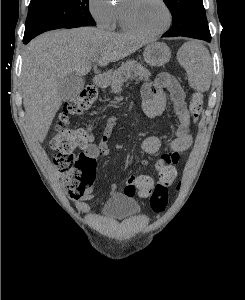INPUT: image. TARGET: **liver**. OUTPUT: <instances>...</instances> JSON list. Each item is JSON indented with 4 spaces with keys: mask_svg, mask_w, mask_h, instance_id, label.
<instances>
[{
    "mask_svg": "<svg viewBox=\"0 0 245 300\" xmlns=\"http://www.w3.org/2000/svg\"><path fill=\"white\" fill-rule=\"evenodd\" d=\"M149 41L141 36L98 28L60 29L41 34L23 55V104L36 140L43 142L62 104L58 80L91 71L92 59L101 66L123 59Z\"/></svg>",
    "mask_w": 245,
    "mask_h": 300,
    "instance_id": "obj_1",
    "label": "liver"
}]
</instances>
